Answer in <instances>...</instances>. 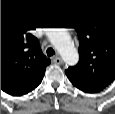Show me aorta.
I'll use <instances>...</instances> for the list:
<instances>
[{
    "mask_svg": "<svg viewBox=\"0 0 115 114\" xmlns=\"http://www.w3.org/2000/svg\"><path fill=\"white\" fill-rule=\"evenodd\" d=\"M49 38L52 44L60 53L62 59L68 65H75L79 60V54L71 40V37L65 29L51 30Z\"/></svg>",
    "mask_w": 115,
    "mask_h": 114,
    "instance_id": "762f6f07",
    "label": "aorta"
}]
</instances>
